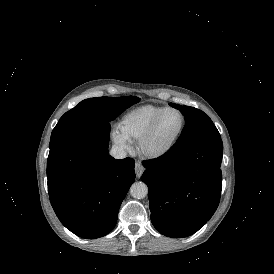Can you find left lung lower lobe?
Returning <instances> with one entry per match:
<instances>
[{
    "label": "left lung lower lobe",
    "mask_w": 274,
    "mask_h": 274,
    "mask_svg": "<svg viewBox=\"0 0 274 274\" xmlns=\"http://www.w3.org/2000/svg\"><path fill=\"white\" fill-rule=\"evenodd\" d=\"M222 154L221 138L207 139L172 147L158 159L142 163L151 221L161 234L187 237L212 217L221 197Z\"/></svg>",
    "instance_id": "obj_1"
}]
</instances>
